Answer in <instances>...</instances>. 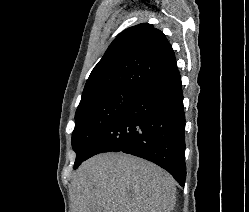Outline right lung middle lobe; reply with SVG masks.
<instances>
[{"label":"right lung middle lobe","mask_w":249,"mask_h":212,"mask_svg":"<svg viewBox=\"0 0 249 212\" xmlns=\"http://www.w3.org/2000/svg\"><path fill=\"white\" fill-rule=\"evenodd\" d=\"M138 94L133 91L108 92L79 104L72 134V147L77 154L74 169L86 160L102 132Z\"/></svg>","instance_id":"1"}]
</instances>
